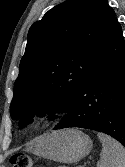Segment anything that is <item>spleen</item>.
Here are the masks:
<instances>
[{
    "label": "spleen",
    "instance_id": "obj_1",
    "mask_svg": "<svg viewBox=\"0 0 125 167\" xmlns=\"http://www.w3.org/2000/svg\"><path fill=\"white\" fill-rule=\"evenodd\" d=\"M102 143L97 167H125V148L112 137L98 133Z\"/></svg>",
    "mask_w": 125,
    "mask_h": 167
}]
</instances>
